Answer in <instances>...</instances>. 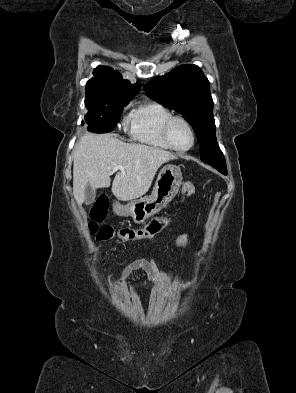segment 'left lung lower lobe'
Here are the masks:
<instances>
[{
	"mask_svg": "<svg viewBox=\"0 0 296 393\" xmlns=\"http://www.w3.org/2000/svg\"><path fill=\"white\" fill-rule=\"evenodd\" d=\"M218 171H220L221 173H223L224 175L227 174V170H221V169H217Z\"/></svg>",
	"mask_w": 296,
	"mask_h": 393,
	"instance_id": "1",
	"label": "left lung lower lobe"
}]
</instances>
